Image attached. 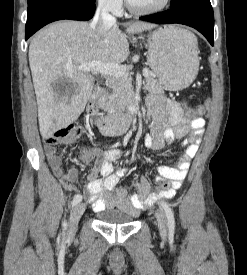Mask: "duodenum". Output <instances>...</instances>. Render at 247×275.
Listing matches in <instances>:
<instances>
[{"label": "duodenum", "mask_w": 247, "mask_h": 275, "mask_svg": "<svg viewBox=\"0 0 247 275\" xmlns=\"http://www.w3.org/2000/svg\"><path fill=\"white\" fill-rule=\"evenodd\" d=\"M105 92L97 90L91 97L87 107V115L93 120L101 132L108 136L121 135L133 124L137 118L136 111H126L120 115H100L99 110Z\"/></svg>", "instance_id": "duodenum-1"}]
</instances>
